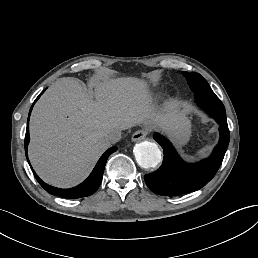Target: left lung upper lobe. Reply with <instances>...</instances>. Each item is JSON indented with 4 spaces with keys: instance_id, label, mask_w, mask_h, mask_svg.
Segmentation results:
<instances>
[{
    "instance_id": "left-lung-upper-lobe-1",
    "label": "left lung upper lobe",
    "mask_w": 258,
    "mask_h": 258,
    "mask_svg": "<svg viewBox=\"0 0 258 258\" xmlns=\"http://www.w3.org/2000/svg\"><path fill=\"white\" fill-rule=\"evenodd\" d=\"M182 74L186 77L192 91H194L196 87L209 86L207 81L200 74L196 72H192V73L182 72Z\"/></svg>"
}]
</instances>
